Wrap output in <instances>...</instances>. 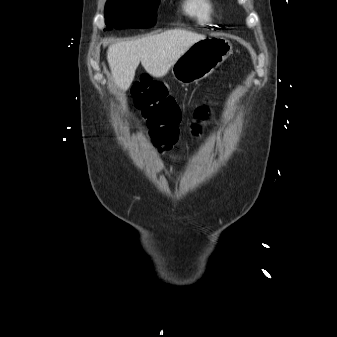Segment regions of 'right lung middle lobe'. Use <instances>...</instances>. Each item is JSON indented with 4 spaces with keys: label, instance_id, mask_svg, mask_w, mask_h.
Returning <instances> with one entry per match:
<instances>
[{
    "label": "right lung middle lobe",
    "instance_id": "right-lung-middle-lobe-1",
    "mask_svg": "<svg viewBox=\"0 0 337 337\" xmlns=\"http://www.w3.org/2000/svg\"><path fill=\"white\" fill-rule=\"evenodd\" d=\"M159 0H108L105 5V30L148 28L156 23Z\"/></svg>",
    "mask_w": 337,
    "mask_h": 337
}]
</instances>
